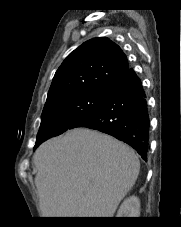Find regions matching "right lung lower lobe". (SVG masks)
I'll use <instances>...</instances> for the list:
<instances>
[{
	"instance_id": "obj_1",
	"label": "right lung lower lobe",
	"mask_w": 181,
	"mask_h": 227,
	"mask_svg": "<svg viewBox=\"0 0 181 227\" xmlns=\"http://www.w3.org/2000/svg\"><path fill=\"white\" fill-rule=\"evenodd\" d=\"M77 127L99 130L132 146L147 160L150 120L142 83L131 69L110 87L103 106Z\"/></svg>"
}]
</instances>
